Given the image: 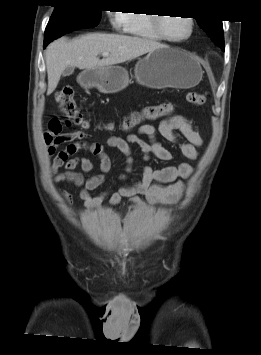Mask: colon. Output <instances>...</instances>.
Returning a JSON list of instances; mask_svg holds the SVG:
<instances>
[{
    "label": "colon",
    "instance_id": "5ec220e1",
    "mask_svg": "<svg viewBox=\"0 0 261 355\" xmlns=\"http://www.w3.org/2000/svg\"><path fill=\"white\" fill-rule=\"evenodd\" d=\"M55 99L59 104V109L67 123L88 128L89 123L85 119L75 98L71 87L65 86L55 94ZM187 100L194 106H202L206 103L207 97L203 93L191 92L187 95ZM173 112V106L169 102L160 103L144 107L140 112L132 114L123 123V130L130 131L144 120H156L163 117H169ZM49 127L54 131L60 130V122L56 119L49 123Z\"/></svg>",
    "mask_w": 261,
    "mask_h": 355
}]
</instances>
